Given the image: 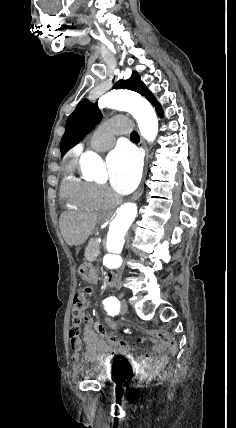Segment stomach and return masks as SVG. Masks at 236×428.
I'll list each match as a JSON object with an SVG mask.
<instances>
[{
	"instance_id": "0dacf381",
	"label": "stomach",
	"mask_w": 236,
	"mask_h": 428,
	"mask_svg": "<svg viewBox=\"0 0 236 428\" xmlns=\"http://www.w3.org/2000/svg\"><path fill=\"white\" fill-rule=\"evenodd\" d=\"M96 266L92 265L90 261H85L84 264H81L79 268V278L83 279L85 284L94 287L99 283L100 276L95 274Z\"/></svg>"
}]
</instances>
